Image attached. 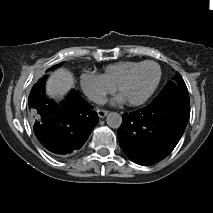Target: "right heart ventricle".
Returning <instances> with one entry per match:
<instances>
[{"mask_svg": "<svg viewBox=\"0 0 213 213\" xmlns=\"http://www.w3.org/2000/svg\"><path fill=\"white\" fill-rule=\"evenodd\" d=\"M139 63L136 61H119L109 64L103 68L100 75L115 88L121 78Z\"/></svg>", "mask_w": 213, "mask_h": 213, "instance_id": "1", "label": "right heart ventricle"}]
</instances>
